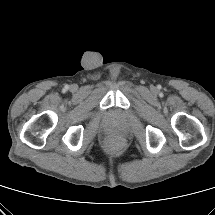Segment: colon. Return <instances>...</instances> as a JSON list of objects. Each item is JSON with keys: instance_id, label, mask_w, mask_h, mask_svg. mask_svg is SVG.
<instances>
[{"instance_id": "colon-1", "label": "colon", "mask_w": 215, "mask_h": 215, "mask_svg": "<svg viewBox=\"0 0 215 215\" xmlns=\"http://www.w3.org/2000/svg\"><path fill=\"white\" fill-rule=\"evenodd\" d=\"M109 146L110 147H117L118 146V142L116 140H110L109 141Z\"/></svg>"}]
</instances>
